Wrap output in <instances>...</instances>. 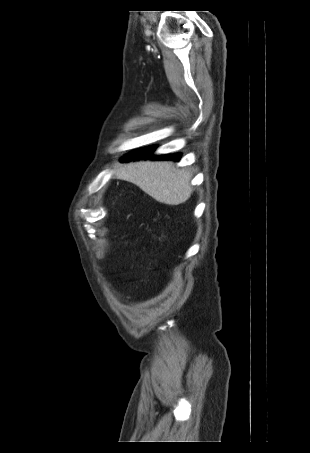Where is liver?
Listing matches in <instances>:
<instances>
[{
	"label": "liver",
	"instance_id": "1",
	"mask_svg": "<svg viewBox=\"0 0 310 453\" xmlns=\"http://www.w3.org/2000/svg\"><path fill=\"white\" fill-rule=\"evenodd\" d=\"M118 178L140 187L155 200L168 205L186 202L191 194V174L173 162L141 161L120 168Z\"/></svg>",
	"mask_w": 310,
	"mask_h": 453
}]
</instances>
